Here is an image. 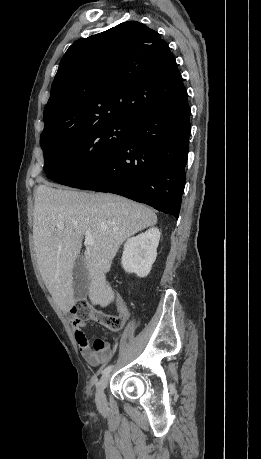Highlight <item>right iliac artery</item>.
I'll list each match as a JSON object with an SVG mask.
<instances>
[{
  "label": "right iliac artery",
  "instance_id": "right-iliac-artery-1",
  "mask_svg": "<svg viewBox=\"0 0 261 459\" xmlns=\"http://www.w3.org/2000/svg\"><path fill=\"white\" fill-rule=\"evenodd\" d=\"M112 368H113V365H109L102 371V373L103 374L109 373L112 370Z\"/></svg>",
  "mask_w": 261,
  "mask_h": 459
}]
</instances>
